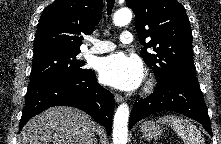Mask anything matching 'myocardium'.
<instances>
[{
	"instance_id": "f54148a6",
	"label": "myocardium",
	"mask_w": 221,
	"mask_h": 144,
	"mask_svg": "<svg viewBox=\"0 0 221 144\" xmlns=\"http://www.w3.org/2000/svg\"><path fill=\"white\" fill-rule=\"evenodd\" d=\"M154 87V82L150 79L147 81L146 85H145V88H144V91L145 92H150Z\"/></svg>"
}]
</instances>
